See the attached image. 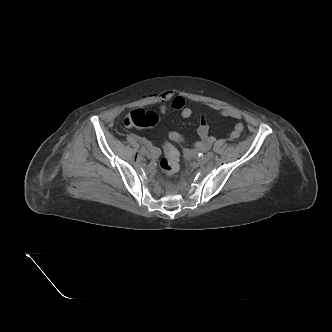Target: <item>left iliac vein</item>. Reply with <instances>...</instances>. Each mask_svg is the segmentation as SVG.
<instances>
[{
  "instance_id": "left-iliac-vein-1",
  "label": "left iliac vein",
  "mask_w": 332,
  "mask_h": 332,
  "mask_svg": "<svg viewBox=\"0 0 332 332\" xmlns=\"http://www.w3.org/2000/svg\"><path fill=\"white\" fill-rule=\"evenodd\" d=\"M209 160H210V158H209L208 156H206V155H204V156H202V157L200 158V162H201L202 164H206V163H208Z\"/></svg>"
}]
</instances>
